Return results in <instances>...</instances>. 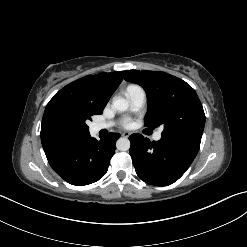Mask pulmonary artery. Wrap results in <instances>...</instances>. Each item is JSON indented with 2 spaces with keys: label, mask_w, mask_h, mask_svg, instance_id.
<instances>
[{
  "label": "pulmonary artery",
  "mask_w": 247,
  "mask_h": 247,
  "mask_svg": "<svg viewBox=\"0 0 247 247\" xmlns=\"http://www.w3.org/2000/svg\"><path fill=\"white\" fill-rule=\"evenodd\" d=\"M125 95L129 100L130 107H131L132 111L137 112V111L142 109V107L144 106L145 101H146V95H145V92L142 88L137 87V88L127 90L125 92ZM111 126H113L112 122H100V123H96L94 125V129L96 131H99V130H102L105 128H109ZM161 136H162L161 132L158 131L154 134L153 138H154V140L158 141L161 139Z\"/></svg>",
  "instance_id": "obj_1"
}]
</instances>
